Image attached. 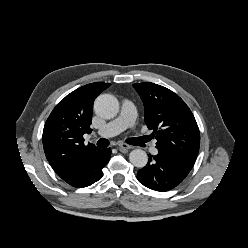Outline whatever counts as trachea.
I'll return each mask as SVG.
<instances>
[{
    "label": "trachea",
    "mask_w": 248,
    "mask_h": 248,
    "mask_svg": "<svg viewBox=\"0 0 248 248\" xmlns=\"http://www.w3.org/2000/svg\"><path fill=\"white\" fill-rule=\"evenodd\" d=\"M109 141L105 138H100L97 142V146L100 148L108 147Z\"/></svg>",
    "instance_id": "trachea-1"
}]
</instances>
